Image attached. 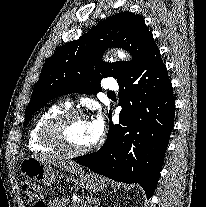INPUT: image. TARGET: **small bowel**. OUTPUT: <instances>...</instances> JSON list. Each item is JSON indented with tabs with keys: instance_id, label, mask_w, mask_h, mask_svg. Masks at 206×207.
<instances>
[{
	"instance_id": "obj_1",
	"label": "small bowel",
	"mask_w": 206,
	"mask_h": 207,
	"mask_svg": "<svg viewBox=\"0 0 206 207\" xmlns=\"http://www.w3.org/2000/svg\"><path fill=\"white\" fill-rule=\"evenodd\" d=\"M66 200L65 199H62V200H56V201H53L51 204H50V207H66Z\"/></svg>"
}]
</instances>
